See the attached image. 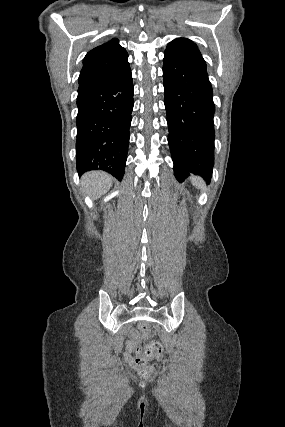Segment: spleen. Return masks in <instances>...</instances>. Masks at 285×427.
<instances>
[{
  "label": "spleen",
  "mask_w": 285,
  "mask_h": 427,
  "mask_svg": "<svg viewBox=\"0 0 285 427\" xmlns=\"http://www.w3.org/2000/svg\"><path fill=\"white\" fill-rule=\"evenodd\" d=\"M192 184L195 185L197 188L204 189V182L199 177H192L191 178Z\"/></svg>",
  "instance_id": "1"
}]
</instances>
